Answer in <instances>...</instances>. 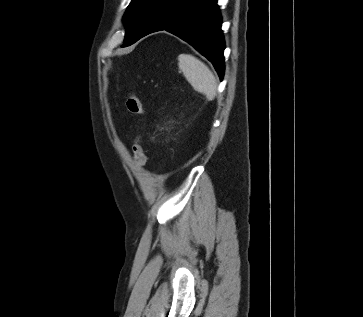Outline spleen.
<instances>
[{"label":"spleen","mask_w":363,"mask_h":317,"mask_svg":"<svg viewBox=\"0 0 363 317\" xmlns=\"http://www.w3.org/2000/svg\"><path fill=\"white\" fill-rule=\"evenodd\" d=\"M178 66L184 77L199 93L212 100L217 92V82L212 71L202 61L189 54L178 56Z\"/></svg>","instance_id":"spleen-1"}]
</instances>
